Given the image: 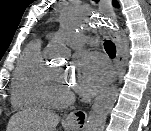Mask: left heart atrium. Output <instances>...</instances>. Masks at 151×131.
Segmentation results:
<instances>
[{"instance_id": "39dd6f15", "label": "left heart atrium", "mask_w": 151, "mask_h": 131, "mask_svg": "<svg viewBox=\"0 0 151 131\" xmlns=\"http://www.w3.org/2000/svg\"><path fill=\"white\" fill-rule=\"evenodd\" d=\"M108 76L107 68L98 57L82 53L73 62L70 86L76 93L90 97L99 91Z\"/></svg>"}]
</instances>
